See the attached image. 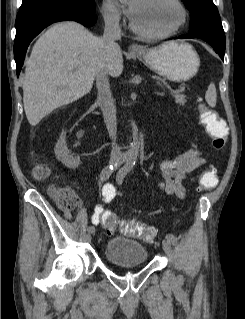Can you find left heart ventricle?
I'll list each match as a JSON object with an SVG mask.
<instances>
[{"instance_id": "obj_1", "label": "left heart ventricle", "mask_w": 245, "mask_h": 319, "mask_svg": "<svg viewBox=\"0 0 245 319\" xmlns=\"http://www.w3.org/2000/svg\"><path fill=\"white\" fill-rule=\"evenodd\" d=\"M132 20L143 31L160 33L178 24L180 12L171 0H140Z\"/></svg>"}]
</instances>
